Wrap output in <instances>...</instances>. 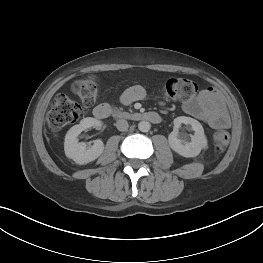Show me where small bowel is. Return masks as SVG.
<instances>
[{"instance_id":"c3829d8e","label":"small bowel","mask_w":263,"mask_h":263,"mask_svg":"<svg viewBox=\"0 0 263 263\" xmlns=\"http://www.w3.org/2000/svg\"><path fill=\"white\" fill-rule=\"evenodd\" d=\"M145 89L140 85L129 87L121 96V102L129 105L145 98ZM190 116L204 121L212 128H228L230 117L220 94L212 87L203 89L196 97L183 104Z\"/></svg>"}]
</instances>
